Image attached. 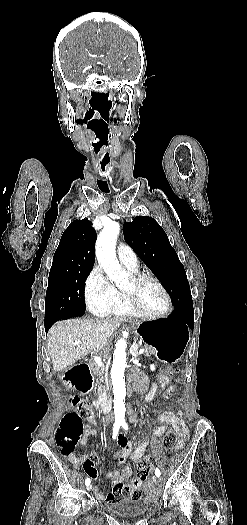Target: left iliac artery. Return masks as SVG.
<instances>
[{"label": "left iliac artery", "mask_w": 247, "mask_h": 525, "mask_svg": "<svg viewBox=\"0 0 247 525\" xmlns=\"http://www.w3.org/2000/svg\"><path fill=\"white\" fill-rule=\"evenodd\" d=\"M122 427H123L125 430H127V429H128V425H127V423H126V422H122ZM160 474H161V473H160V470H159L158 468H156V469H155V475H156L157 477H159Z\"/></svg>", "instance_id": "obj_1"}]
</instances>
